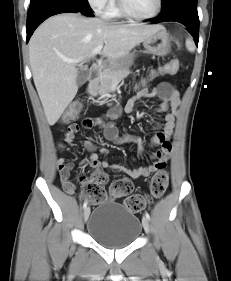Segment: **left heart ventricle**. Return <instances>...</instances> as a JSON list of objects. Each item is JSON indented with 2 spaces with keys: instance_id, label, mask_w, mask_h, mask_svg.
<instances>
[{
  "instance_id": "b2bd125f",
  "label": "left heart ventricle",
  "mask_w": 231,
  "mask_h": 281,
  "mask_svg": "<svg viewBox=\"0 0 231 281\" xmlns=\"http://www.w3.org/2000/svg\"><path fill=\"white\" fill-rule=\"evenodd\" d=\"M127 8L136 15L147 16L156 9L157 0H124Z\"/></svg>"
}]
</instances>
